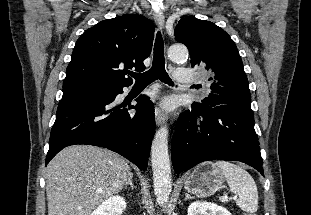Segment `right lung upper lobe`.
Returning <instances> with one entry per match:
<instances>
[{"label":"right lung upper lobe","instance_id":"cb5924a9","mask_svg":"<svg viewBox=\"0 0 311 215\" xmlns=\"http://www.w3.org/2000/svg\"><path fill=\"white\" fill-rule=\"evenodd\" d=\"M154 25L137 14H124L101 21L77 40L66 70L63 86L71 84H109L130 86L127 69L143 71L150 55Z\"/></svg>","mask_w":311,"mask_h":215}]
</instances>
